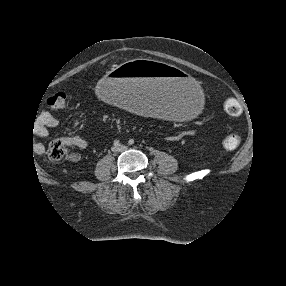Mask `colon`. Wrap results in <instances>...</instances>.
Returning <instances> with one entry per match:
<instances>
[{
	"mask_svg": "<svg viewBox=\"0 0 286 286\" xmlns=\"http://www.w3.org/2000/svg\"><path fill=\"white\" fill-rule=\"evenodd\" d=\"M66 95L65 93L59 92L52 95L47 100L49 108L54 111H60L66 106ZM224 111L232 117H240L242 115L243 109L240 102L233 98H228L223 102ZM241 137L236 133H229L223 139V146L227 150H236L241 144ZM47 156L52 161H62L67 155L66 146L60 141H52L47 147Z\"/></svg>",
	"mask_w": 286,
	"mask_h": 286,
	"instance_id": "obj_1",
	"label": "colon"
}]
</instances>
